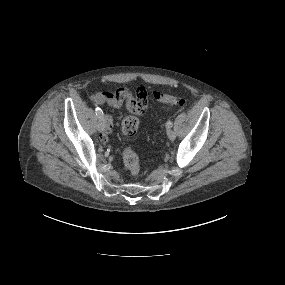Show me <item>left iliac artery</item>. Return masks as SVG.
I'll return each instance as SVG.
<instances>
[{
    "mask_svg": "<svg viewBox=\"0 0 285 285\" xmlns=\"http://www.w3.org/2000/svg\"><path fill=\"white\" fill-rule=\"evenodd\" d=\"M172 125H173V124H172V122H171V121H168V122L166 123V127H167V128H171V127H172Z\"/></svg>",
    "mask_w": 285,
    "mask_h": 285,
    "instance_id": "left-iliac-artery-1",
    "label": "left iliac artery"
}]
</instances>
